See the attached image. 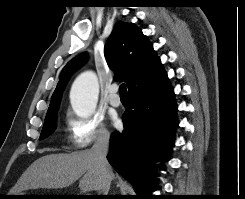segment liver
I'll return each mask as SVG.
<instances>
[{
  "label": "liver",
  "mask_w": 245,
  "mask_h": 199,
  "mask_svg": "<svg viewBox=\"0 0 245 199\" xmlns=\"http://www.w3.org/2000/svg\"><path fill=\"white\" fill-rule=\"evenodd\" d=\"M78 179L82 191H100L102 188L101 173L92 149L49 154L37 159L24 172L12 193L38 188H65Z\"/></svg>",
  "instance_id": "liver-1"
}]
</instances>
